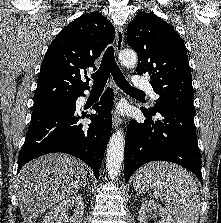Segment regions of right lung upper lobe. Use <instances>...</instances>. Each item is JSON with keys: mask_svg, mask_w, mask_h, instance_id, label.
<instances>
[{"mask_svg": "<svg viewBox=\"0 0 221 223\" xmlns=\"http://www.w3.org/2000/svg\"><path fill=\"white\" fill-rule=\"evenodd\" d=\"M115 37L113 25L99 12L84 14L67 25L50 44L38 76L35 104L73 99L89 89L81 80L87 67Z\"/></svg>", "mask_w": 221, "mask_h": 223, "instance_id": "cb5924a9", "label": "right lung upper lobe"}]
</instances>
